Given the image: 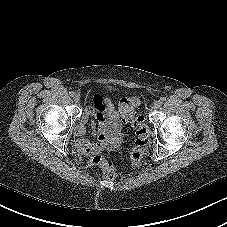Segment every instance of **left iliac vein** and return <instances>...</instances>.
Segmentation results:
<instances>
[{
	"label": "left iliac vein",
	"mask_w": 227,
	"mask_h": 227,
	"mask_svg": "<svg viewBox=\"0 0 227 227\" xmlns=\"http://www.w3.org/2000/svg\"><path fill=\"white\" fill-rule=\"evenodd\" d=\"M160 106H161L160 101H155V102L153 103V105H152V109H153V110H156V109H158Z\"/></svg>",
	"instance_id": "1"
}]
</instances>
